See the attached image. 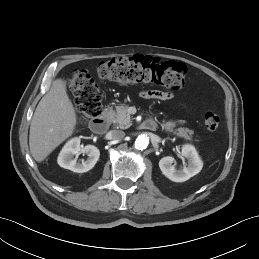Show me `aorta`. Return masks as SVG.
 Returning a JSON list of instances; mask_svg holds the SVG:
<instances>
[{
  "instance_id": "1",
  "label": "aorta",
  "mask_w": 259,
  "mask_h": 259,
  "mask_svg": "<svg viewBox=\"0 0 259 259\" xmlns=\"http://www.w3.org/2000/svg\"><path fill=\"white\" fill-rule=\"evenodd\" d=\"M149 144V139L146 135H139L135 141V148L138 150L146 149Z\"/></svg>"
}]
</instances>
